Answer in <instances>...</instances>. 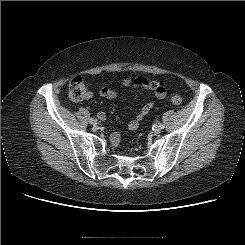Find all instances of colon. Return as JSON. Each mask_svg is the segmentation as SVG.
<instances>
[{
  "instance_id": "5ec220e1",
  "label": "colon",
  "mask_w": 245,
  "mask_h": 245,
  "mask_svg": "<svg viewBox=\"0 0 245 245\" xmlns=\"http://www.w3.org/2000/svg\"><path fill=\"white\" fill-rule=\"evenodd\" d=\"M134 85L147 89L153 90L156 93H166L167 86L163 82L150 80L147 78H137L134 80ZM68 95L72 101H81L86 97V86L84 80L80 76H76L69 82L68 85ZM171 101L175 105H180L182 103V98L179 95H174Z\"/></svg>"
}]
</instances>
